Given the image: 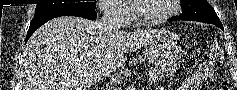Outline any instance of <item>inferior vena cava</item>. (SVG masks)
Here are the masks:
<instances>
[{"instance_id":"602c4592","label":"inferior vena cava","mask_w":237,"mask_h":90,"mask_svg":"<svg viewBox=\"0 0 237 90\" xmlns=\"http://www.w3.org/2000/svg\"><path fill=\"white\" fill-rule=\"evenodd\" d=\"M100 10L103 14L99 22L101 32H106V34H116V32H120V14L122 12V8H120L118 4H102ZM93 74L94 82L104 80L105 76H107L105 66H99L98 70L93 72Z\"/></svg>"}]
</instances>
